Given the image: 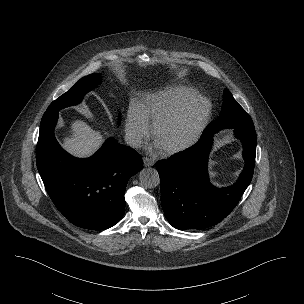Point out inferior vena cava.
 <instances>
[{"instance_id": "602c4592", "label": "inferior vena cava", "mask_w": 304, "mask_h": 304, "mask_svg": "<svg viewBox=\"0 0 304 304\" xmlns=\"http://www.w3.org/2000/svg\"><path fill=\"white\" fill-rule=\"evenodd\" d=\"M125 141L127 145L133 148H139L142 144V138L139 134L134 132H128L125 135Z\"/></svg>"}]
</instances>
